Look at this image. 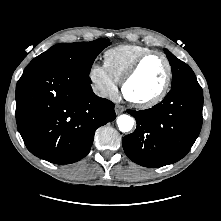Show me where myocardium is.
Here are the masks:
<instances>
[{"label":"myocardium","instance_id":"f54148a6","mask_svg":"<svg viewBox=\"0 0 221 221\" xmlns=\"http://www.w3.org/2000/svg\"><path fill=\"white\" fill-rule=\"evenodd\" d=\"M153 55L160 56L164 60L165 65H166V78H165V81H164V84H163L161 90L156 95L152 96L151 98L145 99V100H136V99L129 97L126 92V88H127L128 83L137 74V72L139 71L143 62L148 57L153 56ZM172 76H173V67H172V63H171L170 59L168 58V56L159 50H148V51L144 52L143 54H141L134 61V63L130 66V68L127 70V72L125 73V75L121 81L122 93H123L125 99L128 102H130L131 104H133L135 107L142 108V109L150 108V107L155 106L158 103H160L167 96V94L169 93L170 87H171Z\"/></svg>","mask_w":221,"mask_h":221}]
</instances>
